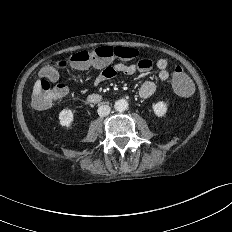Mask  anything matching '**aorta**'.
I'll return each instance as SVG.
<instances>
[{
    "mask_svg": "<svg viewBox=\"0 0 232 232\" xmlns=\"http://www.w3.org/2000/svg\"><path fill=\"white\" fill-rule=\"evenodd\" d=\"M115 110L122 112L128 108V102L125 99H119L114 104Z\"/></svg>",
    "mask_w": 232,
    "mask_h": 232,
    "instance_id": "obj_1",
    "label": "aorta"
}]
</instances>
